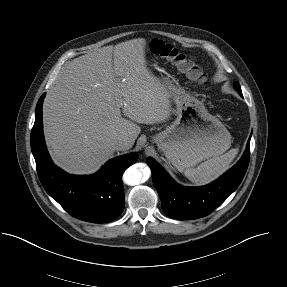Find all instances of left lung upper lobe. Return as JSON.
I'll return each mask as SVG.
<instances>
[{
    "mask_svg": "<svg viewBox=\"0 0 287 287\" xmlns=\"http://www.w3.org/2000/svg\"><path fill=\"white\" fill-rule=\"evenodd\" d=\"M234 87L238 91V93L242 96V92H241V88H240L239 84L235 83Z\"/></svg>",
    "mask_w": 287,
    "mask_h": 287,
    "instance_id": "1",
    "label": "left lung upper lobe"
}]
</instances>
